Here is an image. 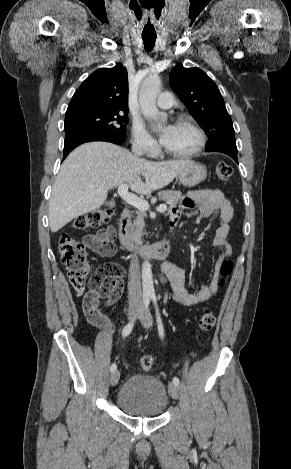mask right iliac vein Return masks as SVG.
I'll use <instances>...</instances> for the list:
<instances>
[{"instance_id":"63e3f726","label":"right iliac vein","mask_w":291,"mask_h":469,"mask_svg":"<svg viewBox=\"0 0 291 469\" xmlns=\"http://www.w3.org/2000/svg\"><path fill=\"white\" fill-rule=\"evenodd\" d=\"M139 313H140L139 306H136V305L130 306L128 309V320L130 322H133L137 318ZM119 378H120V372L118 370H115L114 372H112L110 375L111 385L115 386L118 383Z\"/></svg>"}]
</instances>
